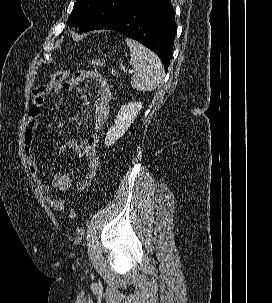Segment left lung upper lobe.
I'll use <instances>...</instances> for the list:
<instances>
[{
	"instance_id": "1",
	"label": "left lung upper lobe",
	"mask_w": 272,
	"mask_h": 303,
	"mask_svg": "<svg viewBox=\"0 0 272 303\" xmlns=\"http://www.w3.org/2000/svg\"><path fill=\"white\" fill-rule=\"evenodd\" d=\"M140 0H77L68 25L80 27L79 33L94 30L109 18Z\"/></svg>"
}]
</instances>
